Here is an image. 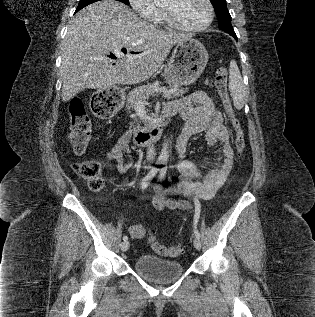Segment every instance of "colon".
<instances>
[{
	"label": "colon",
	"mask_w": 315,
	"mask_h": 317,
	"mask_svg": "<svg viewBox=\"0 0 315 317\" xmlns=\"http://www.w3.org/2000/svg\"><path fill=\"white\" fill-rule=\"evenodd\" d=\"M215 86L235 129V149L238 157H241L245 150V136L237 119L231 99L228 93V69L220 67L216 72ZM118 94L105 95V89L98 91L92 98L91 108L93 113L99 118H108L114 113ZM69 118L71 124V148L75 155L85 154L92 137V120L88 115L83 102L79 98H74L69 105ZM74 171L86 181L88 187L93 191H100L104 185L101 164L99 160L91 158L78 161L73 164ZM149 242L156 252L167 257L179 256L183 248L178 245L164 246L160 244L153 232L149 235Z\"/></svg>",
	"instance_id": "1"
}]
</instances>
